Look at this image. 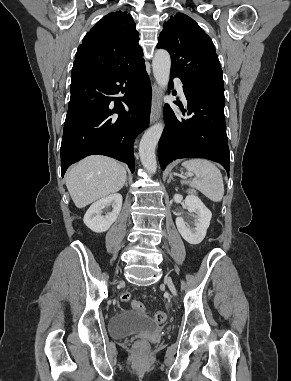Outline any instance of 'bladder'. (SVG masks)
<instances>
[{
    "mask_svg": "<svg viewBox=\"0 0 291 381\" xmlns=\"http://www.w3.org/2000/svg\"><path fill=\"white\" fill-rule=\"evenodd\" d=\"M156 324L145 314L133 311H120L109 320L108 330L112 337L124 338L142 331H152Z\"/></svg>",
    "mask_w": 291,
    "mask_h": 381,
    "instance_id": "1",
    "label": "bladder"
}]
</instances>
